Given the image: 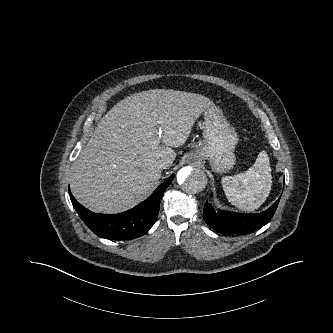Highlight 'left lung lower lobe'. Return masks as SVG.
Masks as SVG:
<instances>
[{
	"label": "left lung lower lobe",
	"instance_id": "left-lung-lower-lobe-1",
	"mask_svg": "<svg viewBox=\"0 0 333 333\" xmlns=\"http://www.w3.org/2000/svg\"><path fill=\"white\" fill-rule=\"evenodd\" d=\"M279 199L266 211L258 214H241L228 211H218L207 203L204 206L203 218L208 225L220 233L247 234L266 225L273 217Z\"/></svg>",
	"mask_w": 333,
	"mask_h": 333
}]
</instances>
